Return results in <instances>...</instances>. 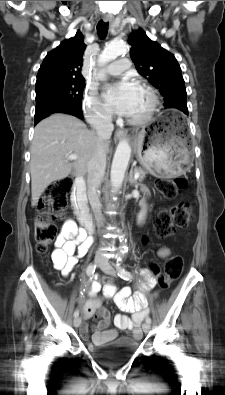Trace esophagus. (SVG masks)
<instances>
[{"label":"esophagus","mask_w":225,"mask_h":395,"mask_svg":"<svg viewBox=\"0 0 225 395\" xmlns=\"http://www.w3.org/2000/svg\"><path fill=\"white\" fill-rule=\"evenodd\" d=\"M103 20H104V22H111L112 21V16L111 15H104ZM126 136H127V131L126 130L117 129L115 131L114 137L116 139H121V138L126 137Z\"/></svg>","instance_id":"obj_1"}]
</instances>
